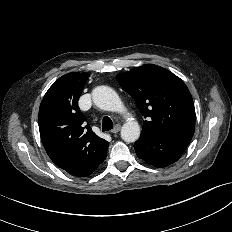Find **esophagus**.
<instances>
[{
	"mask_svg": "<svg viewBox=\"0 0 232 232\" xmlns=\"http://www.w3.org/2000/svg\"><path fill=\"white\" fill-rule=\"evenodd\" d=\"M120 129H121V125H120V124H117V125H115V127L111 130V132H112L113 134H116V133H118V132L120 131Z\"/></svg>",
	"mask_w": 232,
	"mask_h": 232,
	"instance_id": "1",
	"label": "esophagus"
}]
</instances>
